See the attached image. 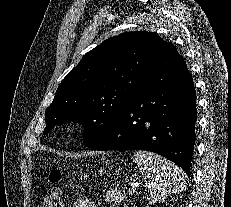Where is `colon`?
Listing matches in <instances>:
<instances>
[{
  "mask_svg": "<svg viewBox=\"0 0 231 207\" xmlns=\"http://www.w3.org/2000/svg\"><path fill=\"white\" fill-rule=\"evenodd\" d=\"M62 180V173L58 169H53L49 173V181L53 185L52 189L45 195L43 207H63L62 189L59 183Z\"/></svg>",
  "mask_w": 231,
  "mask_h": 207,
  "instance_id": "colon-1",
  "label": "colon"
}]
</instances>
